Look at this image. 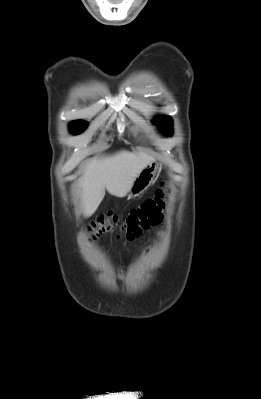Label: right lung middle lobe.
Wrapping results in <instances>:
<instances>
[{"instance_id":"right-lung-middle-lobe-1","label":"right lung middle lobe","mask_w":261,"mask_h":399,"mask_svg":"<svg viewBox=\"0 0 261 399\" xmlns=\"http://www.w3.org/2000/svg\"><path fill=\"white\" fill-rule=\"evenodd\" d=\"M87 127V124L83 121H73L70 124V130L73 134H79Z\"/></svg>"}]
</instances>
